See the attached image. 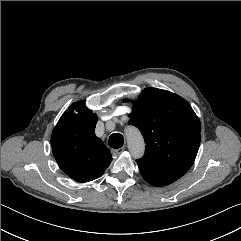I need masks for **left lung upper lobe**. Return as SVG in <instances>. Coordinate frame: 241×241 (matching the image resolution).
I'll use <instances>...</instances> for the list:
<instances>
[{
    "label": "left lung upper lobe",
    "mask_w": 241,
    "mask_h": 241,
    "mask_svg": "<svg viewBox=\"0 0 241 241\" xmlns=\"http://www.w3.org/2000/svg\"><path fill=\"white\" fill-rule=\"evenodd\" d=\"M129 124L141 131L146 150L137 160L145 180L168 185L192 166L201 140L200 121L180 96L147 88L129 114Z\"/></svg>",
    "instance_id": "5c2ea615"
}]
</instances>
